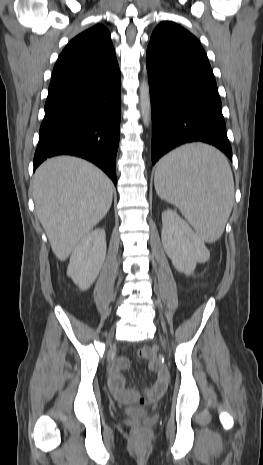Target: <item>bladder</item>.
Returning <instances> with one entry per match:
<instances>
[{"label":"bladder","mask_w":263,"mask_h":465,"mask_svg":"<svg viewBox=\"0 0 263 465\" xmlns=\"http://www.w3.org/2000/svg\"><path fill=\"white\" fill-rule=\"evenodd\" d=\"M127 413H129V414H139V413H143V410L133 407V408L127 409Z\"/></svg>","instance_id":"1"}]
</instances>
